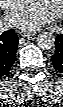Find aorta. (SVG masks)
<instances>
[{"label":"aorta","instance_id":"762f6f07","mask_svg":"<svg viewBox=\"0 0 63 107\" xmlns=\"http://www.w3.org/2000/svg\"><path fill=\"white\" fill-rule=\"evenodd\" d=\"M37 44L43 50H50L54 47L55 37L51 32L43 31L37 37Z\"/></svg>","mask_w":63,"mask_h":107}]
</instances>
